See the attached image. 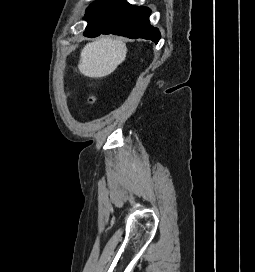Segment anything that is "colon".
<instances>
[{
  "label": "colon",
  "mask_w": 255,
  "mask_h": 272,
  "mask_svg": "<svg viewBox=\"0 0 255 272\" xmlns=\"http://www.w3.org/2000/svg\"><path fill=\"white\" fill-rule=\"evenodd\" d=\"M89 101H90V102H93V101H94V97H93V96H90V97H89Z\"/></svg>",
  "instance_id": "1"
}]
</instances>
